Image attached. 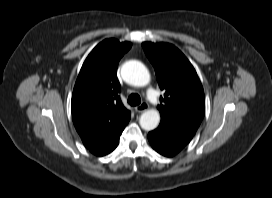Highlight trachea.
Segmentation results:
<instances>
[{"mask_svg": "<svg viewBox=\"0 0 272 198\" xmlns=\"http://www.w3.org/2000/svg\"><path fill=\"white\" fill-rule=\"evenodd\" d=\"M127 101H128V104H130L131 106H137L141 103V98L138 94L132 93L129 95Z\"/></svg>", "mask_w": 272, "mask_h": 198, "instance_id": "1", "label": "trachea"}]
</instances>
